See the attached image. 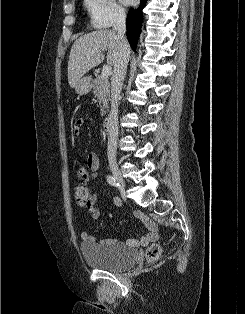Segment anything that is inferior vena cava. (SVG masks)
Returning a JSON list of instances; mask_svg holds the SVG:
<instances>
[{"label":"inferior vena cava","mask_w":245,"mask_h":314,"mask_svg":"<svg viewBox=\"0 0 245 314\" xmlns=\"http://www.w3.org/2000/svg\"><path fill=\"white\" fill-rule=\"evenodd\" d=\"M113 30L117 33L120 49L118 58L114 64L111 85V111L110 128L108 136L107 155L109 161L116 160L117 139H118V99L126 75V69L130 57V47L125 37L126 33V13L119 11L115 17Z\"/></svg>","instance_id":"obj_1"}]
</instances>
